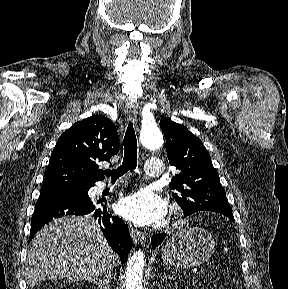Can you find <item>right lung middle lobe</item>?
Returning a JSON list of instances; mask_svg holds the SVG:
<instances>
[{"instance_id": "obj_1", "label": "right lung middle lobe", "mask_w": 288, "mask_h": 289, "mask_svg": "<svg viewBox=\"0 0 288 289\" xmlns=\"http://www.w3.org/2000/svg\"><path fill=\"white\" fill-rule=\"evenodd\" d=\"M90 188L44 189L40 190V201L46 200H73L82 203H92L88 196Z\"/></svg>"}]
</instances>
